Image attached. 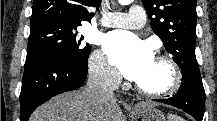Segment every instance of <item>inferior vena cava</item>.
Returning a JSON list of instances; mask_svg holds the SVG:
<instances>
[{"label": "inferior vena cava", "instance_id": "602c4592", "mask_svg": "<svg viewBox=\"0 0 217 121\" xmlns=\"http://www.w3.org/2000/svg\"><path fill=\"white\" fill-rule=\"evenodd\" d=\"M119 86V80L110 68L102 64L90 71L85 88L91 104H102L114 100V90Z\"/></svg>", "mask_w": 217, "mask_h": 121}]
</instances>
